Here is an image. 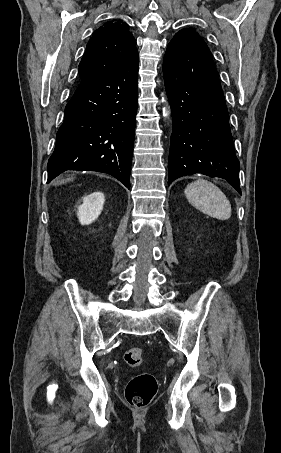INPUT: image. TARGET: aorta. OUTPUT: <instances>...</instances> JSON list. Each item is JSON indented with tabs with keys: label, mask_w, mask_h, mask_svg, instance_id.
<instances>
[{
	"label": "aorta",
	"mask_w": 281,
	"mask_h": 453,
	"mask_svg": "<svg viewBox=\"0 0 281 453\" xmlns=\"http://www.w3.org/2000/svg\"><path fill=\"white\" fill-rule=\"evenodd\" d=\"M162 102H164V98H162ZM168 113H169V112H168V111L166 110V108L164 107V108H163V116H164V117H167V116H168Z\"/></svg>",
	"instance_id": "1"
}]
</instances>
